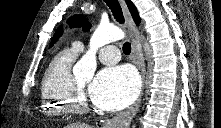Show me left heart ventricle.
Returning a JSON list of instances; mask_svg holds the SVG:
<instances>
[{"label": "left heart ventricle", "instance_id": "obj_1", "mask_svg": "<svg viewBox=\"0 0 221 128\" xmlns=\"http://www.w3.org/2000/svg\"><path fill=\"white\" fill-rule=\"evenodd\" d=\"M79 83H80V85H83V84H84V83H83V82H81V81H80Z\"/></svg>", "mask_w": 221, "mask_h": 128}]
</instances>
